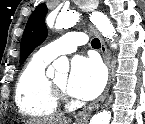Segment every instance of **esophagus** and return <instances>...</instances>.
<instances>
[{
	"mask_svg": "<svg viewBox=\"0 0 145 124\" xmlns=\"http://www.w3.org/2000/svg\"><path fill=\"white\" fill-rule=\"evenodd\" d=\"M90 29L100 40V43H101L100 52H101V55L103 57L105 64L108 67L109 77H108L107 86H106L103 94L93 104L89 105L86 109H84L83 111H80L76 115V121L78 124L87 123L88 120L90 119L92 111L98 109L99 106L104 102V100L107 98V96L109 94L111 81H112V68H111V63H110V56H109L105 41L102 38V36L100 35V33L96 30V28H94V26L90 25Z\"/></svg>",
	"mask_w": 145,
	"mask_h": 124,
	"instance_id": "esophagus-1",
	"label": "esophagus"
}]
</instances>
